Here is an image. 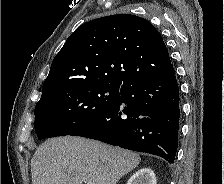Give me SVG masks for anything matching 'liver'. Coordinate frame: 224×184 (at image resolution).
Segmentation results:
<instances>
[{
    "label": "liver",
    "instance_id": "liver-1",
    "mask_svg": "<svg viewBox=\"0 0 224 184\" xmlns=\"http://www.w3.org/2000/svg\"><path fill=\"white\" fill-rule=\"evenodd\" d=\"M141 161L137 153L81 137L45 141L31 160L32 184H116Z\"/></svg>",
    "mask_w": 224,
    "mask_h": 184
}]
</instances>
